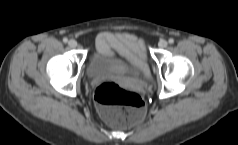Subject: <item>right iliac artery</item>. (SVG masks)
Instances as JSON below:
<instances>
[{"mask_svg":"<svg viewBox=\"0 0 238 145\" xmlns=\"http://www.w3.org/2000/svg\"><path fill=\"white\" fill-rule=\"evenodd\" d=\"M63 42L64 43H67L68 42V39L65 37V38H63Z\"/></svg>","mask_w":238,"mask_h":145,"instance_id":"right-iliac-artery-1","label":"right iliac artery"}]
</instances>
